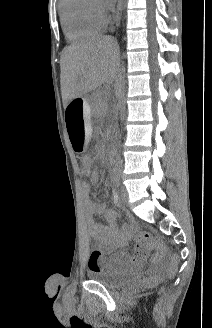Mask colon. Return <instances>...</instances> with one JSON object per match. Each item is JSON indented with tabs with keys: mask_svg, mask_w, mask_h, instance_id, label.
I'll list each match as a JSON object with an SVG mask.
<instances>
[{
	"mask_svg": "<svg viewBox=\"0 0 212 328\" xmlns=\"http://www.w3.org/2000/svg\"><path fill=\"white\" fill-rule=\"evenodd\" d=\"M79 169L80 170H92L93 169V157L90 153H81L79 157ZM131 239L134 240L139 247L146 249H154L155 254L153 256L154 261L162 260L167 255V247L164 241L157 236H153L148 232L137 231L131 233ZM101 261V254L99 251L92 252L89 258V264L95 265ZM179 266V258L175 255L170 256L166 263V269L169 274H174Z\"/></svg>",
	"mask_w": 212,
	"mask_h": 328,
	"instance_id": "5ec220e1",
	"label": "colon"
}]
</instances>
